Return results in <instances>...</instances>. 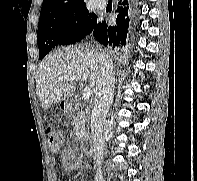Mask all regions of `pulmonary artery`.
<instances>
[{"mask_svg":"<svg viewBox=\"0 0 197 181\" xmlns=\"http://www.w3.org/2000/svg\"><path fill=\"white\" fill-rule=\"evenodd\" d=\"M95 6L99 9H104L106 7V2L105 0H96Z\"/></svg>","mask_w":197,"mask_h":181,"instance_id":"e3ab8cb5","label":"pulmonary artery"}]
</instances>
